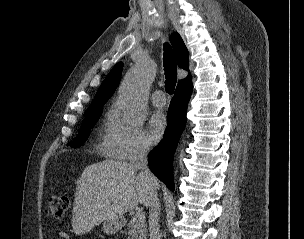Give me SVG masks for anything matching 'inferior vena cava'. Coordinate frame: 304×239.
<instances>
[{
	"mask_svg": "<svg viewBox=\"0 0 304 239\" xmlns=\"http://www.w3.org/2000/svg\"><path fill=\"white\" fill-rule=\"evenodd\" d=\"M149 151L148 145L139 143L130 158V165L136 169H140V176L144 178L150 189L149 201V231L150 239H160V226H159V199L157 196V179L150 172L148 168L147 154Z\"/></svg>",
	"mask_w": 304,
	"mask_h": 239,
	"instance_id": "602c4592",
	"label": "inferior vena cava"
}]
</instances>
